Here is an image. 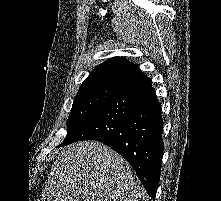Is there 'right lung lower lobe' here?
<instances>
[{"label":"right lung lower lobe","instance_id":"1","mask_svg":"<svg viewBox=\"0 0 221 201\" xmlns=\"http://www.w3.org/2000/svg\"><path fill=\"white\" fill-rule=\"evenodd\" d=\"M163 120L150 79L142 75L119 89L64 141H100L122 155L136 171L147 193L155 198L163 157Z\"/></svg>","mask_w":221,"mask_h":201}]
</instances>
